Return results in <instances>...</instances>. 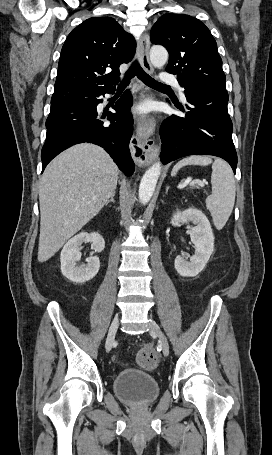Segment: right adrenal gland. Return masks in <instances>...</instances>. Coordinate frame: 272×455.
<instances>
[{
	"label": "right adrenal gland",
	"mask_w": 272,
	"mask_h": 455,
	"mask_svg": "<svg viewBox=\"0 0 272 455\" xmlns=\"http://www.w3.org/2000/svg\"><path fill=\"white\" fill-rule=\"evenodd\" d=\"M114 196H115V192L111 195L110 199L106 202V206L109 204V203H115V200H114Z\"/></svg>",
	"instance_id": "obj_1"
}]
</instances>
